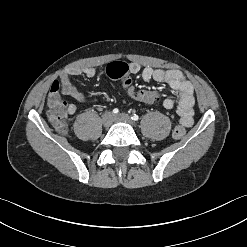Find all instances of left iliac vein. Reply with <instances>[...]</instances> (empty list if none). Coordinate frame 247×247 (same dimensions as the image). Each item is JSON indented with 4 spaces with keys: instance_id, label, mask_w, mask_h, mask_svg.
I'll return each instance as SVG.
<instances>
[{
    "instance_id": "obj_1",
    "label": "left iliac vein",
    "mask_w": 247,
    "mask_h": 247,
    "mask_svg": "<svg viewBox=\"0 0 247 247\" xmlns=\"http://www.w3.org/2000/svg\"><path fill=\"white\" fill-rule=\"evenodd\" d=\"M114 119H115V121H118V122H125L128 124L134 125L131 118L125 113H121V114L116 115Z\"/></svg>"
}]
</instances>
